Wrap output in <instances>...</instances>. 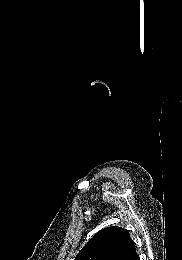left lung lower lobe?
<instances>
[{
	"mask_svg": "<svg viewBox=\"0 0 182 260\" xmlns=\"http://www.w3.org/2000/svg\"><path fill=\"white\" fill-rule=\"evenodd\" d=\"M125 260H139L135 247L132 248L130 253L126 256Z\"/></svg>",
	"mask_w": 182,
	"mask_h": 260,
	"instance_id": "left-lung-lower-lobe-1",
	"label": "left lung lower lobe"
}]
</instances>
